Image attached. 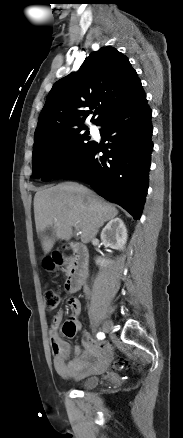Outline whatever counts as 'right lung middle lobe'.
Listing matches in <instances>:
<instances>
[{"label": "right lung middle lobe", "instance_id": "obj_1", "mask_svg": "<svg viewBox=\"0 0 183 438\" xmlns=\"http://www.w3.org/2000/svg\"><path fill=\"white\" fill-rule=\"evenodd\" d=\"M86 127L50 134L34 141L32 154L33 177L48 181L69 165L93 142L88 141Z\"/></svg>", "mask_w": 183, "mask_h": 438}]
</instances>
